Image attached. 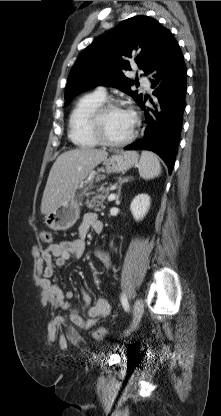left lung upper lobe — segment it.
<instances>
[{
    "label": "left lung upper lobe",
    "mask_w": 221,
    "mask_h": 416,
    "mask_svg": "<svg viewBox=\"0 0 221 416\" xmlns=\"http://www.w3.org/2000/svg\"><path fill=\"white\" fill-rule=\"evenodd\" d=\"M167 31L151 17L135 16L98 37L81 53L71 69L65 89V105L81 92L97 85L118 88L139 105L143 100L142 94L131 90L135 81L125 77L124 73L135 63L148 75Z\"/></svg>",
    "instance_id": "5c2ea615"
}]
</instances>
